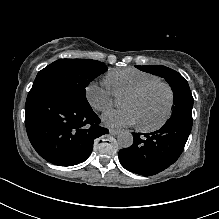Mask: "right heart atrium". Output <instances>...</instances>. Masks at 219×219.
<instances>
[{"label":"right heart atrium","instance_id":"d8ad5b80","mask_svg":"<svg viewBox=\"0 0 219 219\" xmlns=\"http://www.w3.org/2000/svg\"><path fill=\"white\" fill-rule=\"evenodd\" d=\"M85 97L90 106L100 112H106L114 106L115 96L106 81L89 83L85 87Z\"/></svg>","mask_w":219,"mask_h":219}]
</instances>
